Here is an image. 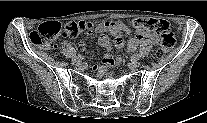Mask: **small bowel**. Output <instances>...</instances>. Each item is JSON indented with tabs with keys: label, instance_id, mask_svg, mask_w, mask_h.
I'll return each mask as SVG.
<instances>
[{
	"label": "small bowel",
	"instance_id": "1",
	"mask_svg": "<svg viewBox=\"0 0 207 123\" xmlns=\"http://www.w3.org/2000/svg\"><path fill=\"white\" fill-rule=\"evenodd\" d=\"M94 32L102 33L98 38V44L109 50L111 48L110 38L103 33H111L114 38L115 45L120 48L124 45L123 35L129 34L131 31L120 21H104L95 26ZM143 41H147L152 45H157L160 38L156 33H153L148 29H137L136 36L128 40L127 47L130 50H134ZM104 60L106 63L112 62V59L108 55Z\"/></svg>",
	"mask_w": 207,
	"mask_h": 123
}]
</instances>
